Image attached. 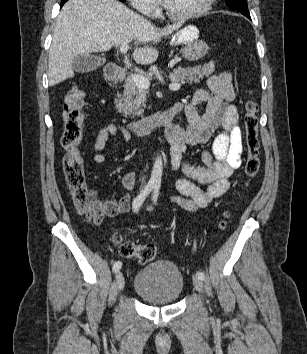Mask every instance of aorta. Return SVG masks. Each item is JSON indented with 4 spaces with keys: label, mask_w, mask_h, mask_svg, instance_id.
<instances>
[{
    "label": "aorta",
    "mask_w": 307,
    "mask_h": 354,
    "mask_svg": "<svg viewBox=\"0 0 307 354\" xmlns=\"http://www.w3.org/2000/svg\"><path fill=\"white\" fill-rule=\"evenodd\" d=\"M162 172H163V161L162 157L158 155L153 164L150 183L155 186H160L162 180Z\"/></svg>",
    "instance_id": "762f6f07"
}]
</instances>
